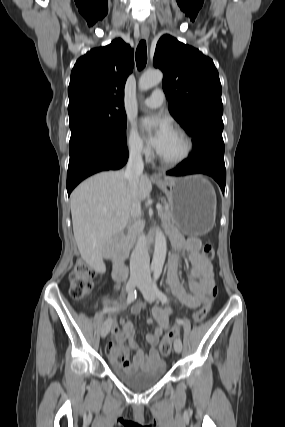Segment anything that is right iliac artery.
Wrapping results in <instances>:
<instances>
[{
	"instance_id": "1",
	"label": "right iliac artery",
	"mask_w": 285,
	"mask_h": 427,
	"mask_svg": "<svg viewBox=\"0 0 285 427\" xmlns=\"http://www.w3.org/2000/svg\"><path fill=\"white\" fill-rule=\"evenodd\" d=\"M137 297V290H133L129 293L128 297H127V305L130 304L131 302H133Z\"/></svg>"
}]
</instances>
